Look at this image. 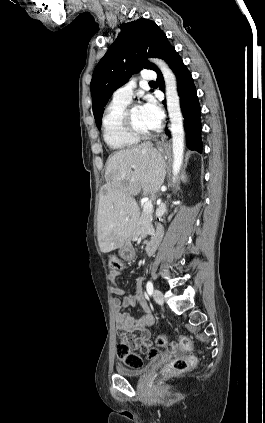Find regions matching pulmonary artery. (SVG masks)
Instances as JSON below:
<instances>
[{"label":"pulmonary artery","instance_id":"obj_1","mask_svg":"<svg viewBox=\"0 0 265 423\" xmlns=\"http://www.w3.org/2000/svg\"><path fill=\"white\" fill-rule=\"evenodd\" d=\"M155 79H156V72L152 70L145 71L141 75V80L143 83L151 82ZM134 88H135L134 82H129L121 86L114 92L113 100L129 103L132 99Z\"/></svg>","mask_w":265,"mask_h":423}]
</instances>
